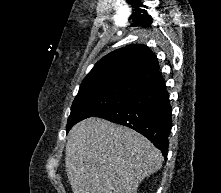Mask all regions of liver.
I'll return each instance as SVG.
<instances>
[{
  "label": "liver",
  "mask_w": 221,
  "mask_h": 193,
  "mask_svg": "<svg viewBox=\"0 0 221 193\" xmlns=\"http://www.w3.org/2000/svg\"><path fill=\"white\" fill-rule=\"evenodd\" d=\"M161 163L147 138L101 118L77 123L67 137L65 167L73 193H137Z\"/></svg>",
  "instance_id": "obj_1"
}]
</instances>
